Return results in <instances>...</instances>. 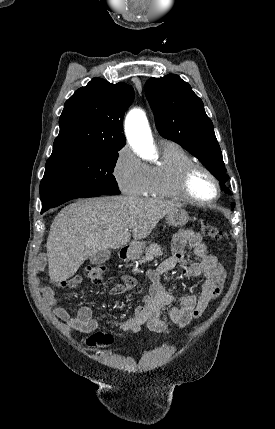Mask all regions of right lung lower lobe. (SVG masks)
Instances as JSON below:
<instances>
[{"label":"right lung lower lobe","mask_w":275,"mask_h":429,"mask_svg":"<svg viewBox=\"0 0 275 429\" xmlns=\"http://www.w3.org/2000/svg\"><path fill=\"white\" fill-rule=\"evenodd\" d=\"M96 196H101V194L72 192V193L58 195L56 197L50 198L42 202L43 207H42L41 213H44L48 209L59 206L60 204L71 199L82 198V197H96Z\"/></svg>","instance_id":"right-lung-lower-lobe-1"}]
</instances>
